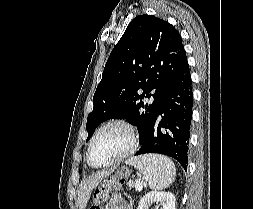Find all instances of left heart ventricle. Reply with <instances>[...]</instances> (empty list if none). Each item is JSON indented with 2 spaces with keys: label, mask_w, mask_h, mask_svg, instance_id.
<instances>
[{
  "label": "left heart ventricle",
  "mask_w": 253,
  "mask_h": 209,
  "mask_svg": "<svg viewBox=\"0 0 253 209\" xmlns=\"http://www.w3.org/2000/svg\"><path fill=\"white\" fill-rule=\"evenodd\" d=\"M130 143L128 131L121 126L104 129L95 139L91 159L94 164L106 163L121 154Z\"/></svg>",
  "instance_id": "b2bd125f"
}]
</instances>
